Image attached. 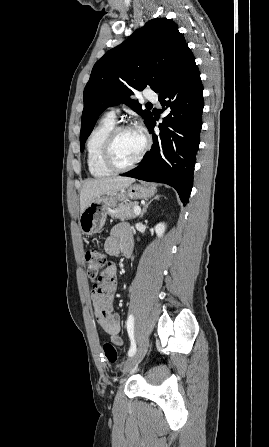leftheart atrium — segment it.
<instances>
[{"mask_svg":"<svg viewBox=\"0 0 269 447\" xmlns=\"http://www.w3.org/2000/svg\"><path fill=\"white\" fill-rule=\"evenodd\" d=\"M138 129L142 130V127H138Z\"/></svg>","mask_w":269,"mask_h":447,"instance_id":"39dd6f15","label":"left heart atrium"}]
</instances>
